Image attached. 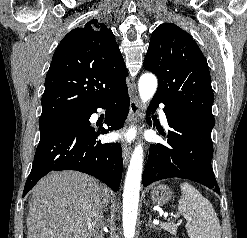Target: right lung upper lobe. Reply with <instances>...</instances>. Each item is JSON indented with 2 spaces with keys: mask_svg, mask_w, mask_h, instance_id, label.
Masks as SVG:
<instances>
[{
  "mask_svg": "<svg viewBox=\"0 0 247 238\" xmlns=\"http://www.w3.org/2000/svg\"><path fill=\"white\" fill-rule=\"evenodd\" d=\"M127 69L114 35L98 20L70 31L45 79L40 121L77 114L123 86Z\"/></svg>",
  "mask_w": 247,
  "mask_h": 238,
  "instance_id": "cb5924a9",
  "label": "right lung upper lobe"
}]
</instances>
